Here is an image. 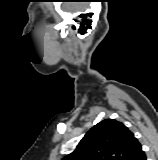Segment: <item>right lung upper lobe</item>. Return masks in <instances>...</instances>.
Instances as JSON below:
<instances>
[{"label":"right lung upper lobe","mask_w":158,"mask_h":160,"mask_svg":"<svg viewBox=\"0 0 158 160\" xmlns=\"http://www.w3.org/2000/svg\"><path fill=\"white\" fill-rule=\"evenodd\" d=\"M141 151V144L123 123L105 119L91 128L62 160H133Z\"/></svg>","instance_id":"cb5924a9"}]
</instances>
